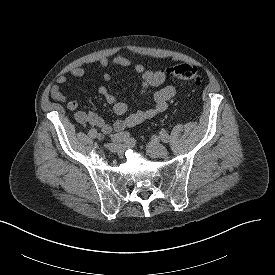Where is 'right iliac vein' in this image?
<instances>
[{"label": "right iliac vein", "instance_id": "obj_1", "mask_svg": "<svg viewBox=\"0 0 275 275\" xmlns=\"http://www.w3.org/2000/svg\"><path fill=\"white\" fill-rule=\"evenodd\" d=\"M106 147L111 151V152H117L119 150V145L116 143H108L106 144Z\"/></svg>", "mask_w": 275, "mask_h": 275}]
</instances>
